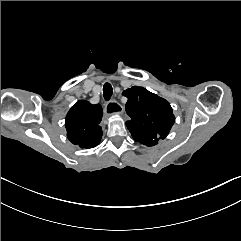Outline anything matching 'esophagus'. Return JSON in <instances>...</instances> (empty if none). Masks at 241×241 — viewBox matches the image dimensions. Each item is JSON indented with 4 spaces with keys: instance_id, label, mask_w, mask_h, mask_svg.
<instances>
[{
    "instance_id": "34e87169",
    "label": "esophagus",
    "mask_w": 241,
    "mask_h": 241,
    "mask_svg": "<svg viewBox=\"0 0 241 241\" xmlns=\"http://www.w3.org/2000/svg\"><path fill=\"white\" fill-rule=\"evenodd\" d=\"M123 112V107L115 99L108 101L104 108V113L107 116L113 114H121Z\"/></svg>"
}]
</instances>
